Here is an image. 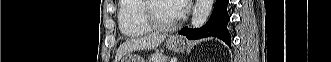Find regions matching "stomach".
<instances>
[{"mask_svg":"<svg viewBox=\"0 0 331 62\" xmlns=\"http://www.w3.org/2000/svg\"><path fill=\"white\" fill-rule=\"evenodd\" d=\"M166 47L173 52H182L185 49V42L177 36H172L166 40ZM120 62H145L142 58L129 55L124 57Z\"/></svg>","mask_w":331,"mask_h":62,"instance_id":"1","label":"stomach"}]
</instances>
